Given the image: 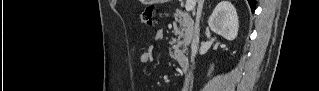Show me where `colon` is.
Instances as JSON below:
<instances>
[{
	"mask_svg": "<svg viewBox=\"0 0 319 91\" xmlns=\"http://www.w3.org/2000/svg\"><path fill=\"white\" fill-rule=\"evenodd\" d=\"M154 6H147L141 13V22L149 27L153 25Z\"/></svg>",
	"mask_w": 319,
	"mask_h": 91,
	"instance_id": "5ec220e1",
	"label": "colon"
}]
</instances>
